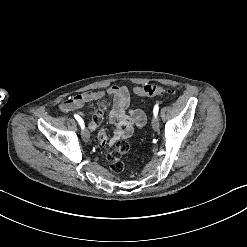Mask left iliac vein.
<instances>
[{
  "label": "left iliac vein",
  "instance_id": "left-iliac-vein-1",
  "mask_svg": "<svg viewBox=\"0 0 247 247\" xmlns=\"http://www.w3.org/2000/svg\"><path fill=\"white\" fill-rule=\"evenodd\" d=\"M152 127L153 129L158 132L160 130V127H159V122H158V119L157 117H153L152 118Z\"/></svg>",
  "mask_w": 247,
  "mask_h": 247
}]
</instances>
